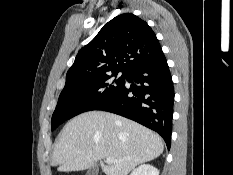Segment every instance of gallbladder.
Wrapping results in <instances>:
<instances>
[{"mask_svg":"<svg viewBox=\"0 0 233 175\" xmlns=\"http://www.w3.org/2000/svg\"><path fill=\"white\" fill-rule=\"evenodd\" d=\"M99 172V168L97 165H93L89 170L87 171L86 175H97Z\"/></svg>","mask_w":233,"mask_h":175,"instance_id":"1","label":"gallbladder"}]
</instances>
